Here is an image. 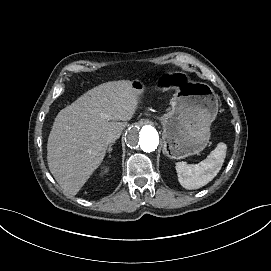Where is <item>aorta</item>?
<instances>
[{"label": "aorta", "mask_w": 271, "mask_h": 271, "mask_svg": "<svg viewBox=\"0 0 271 271\" xmlns=\"http://www.w3.org/2000/svg\"><path fill=\"white\" fill-rule=\"evenodd\" d=\"M127 146L144 152H153L159 145L157 130L145 121H138L126 132Z\"/></svg>", "instance_id": "762f6f07"}]
</instances>
